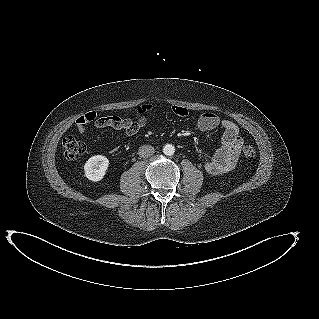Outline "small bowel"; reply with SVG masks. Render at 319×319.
<instances>
[{"instance_id":"1","label":"small bowel","mask_w":319,"mask_h":319,"mask_svg":"<svg viewBox=\"0 0 319 319\" xmlns=\"http://www.w3.org/2000/svg\"><path fill=\"white\" fill-rule=\"evenodd\" d=\"M151 110V105H143L136 108L135 119L121 118L119 116L96 118L95 116L92 121L96 127H110L124 131L126 136H133L146 124V113ZM172 111L178 117H186L188 115V109L183 106H173ZM197 126L202 132H209L219 126L222 127L221 145L205 163V169L211 174H222L230 171L236 165L243 145L238 126L230 120L220 119L215 113L211 112L202 114L198 119ZM77 129L80 133L86 132V124L77 123Z\"/></svg>"}]
</instances>
